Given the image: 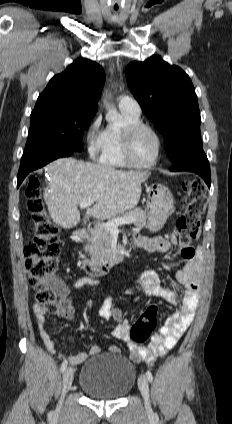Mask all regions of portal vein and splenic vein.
<instances>
[{
	"mask_svg": "<svg viewBox=\"0 0 232 424\" xmlns=\"http://www.w3.org/2000/svg\"><path fill=\"white\" fill-rule=\"evenodd\" d=\"M93 203L94 201L92 200L81 201L79 203V206L80 208H87V207H90ZM135 221H136V218L134 217H123V218H118V219L109 221L107 223H103L99 225V227H103L112 233H117L119 232L118 226L123 224L133 223Z\"/></svg>",
	"mask_w": 232,
	"mask_h": 424,
	"instance_id": "18ae733b",
	"label": "portal vein and splenic vein"
}]
</instances>
